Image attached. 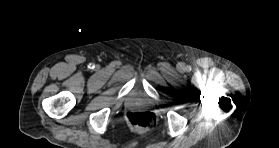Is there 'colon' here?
Masks as SVG:
<instances>
[{
    "label": "colon",
    "mask_w": 279,
    "mask_h": 148,
    "mask_svg": "<svg viewBox=\"0 0 279 148\" xmlns=\"http://www.w3.org/2000/svg\"><path fill=\"white\" fill-rule=\"evenodd\" d=\"M128 122L139 129H148L155 125L156 117L152 112L139 111L127 114Z\"/></svg>",
    "instance_id": "5ec220e1"
}]
</instances>
